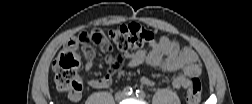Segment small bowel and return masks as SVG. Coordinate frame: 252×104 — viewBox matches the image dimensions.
I'll return each mask as SVG.
<instances>
[{
	"label": "small bowel",
	"mask_w": 252,
	"mask_h": 104,
	"mask_svg": "<svg viewBox=\"0 0 252 104\" xmlns=\"http://www.w3.org/2000/svg\"><path fill=\"white\" fill-rule=\"evenodd\" d=\"M126 66L136 68L142 64L152 67H158L164 71H179L172 79V85L175 89L188 88L190 79L200 73V64L197 54L190 48L181 49L178 40L168 36H160L152 39L149 44L136 52L124 54ZM119 56H111L107 59V64L115 69L120 65ZM94 68L93 57L88 58L85 69L90 72ZM142 85L152 87L155 85L154 80L149 77L140 79ZM89 86L95 89L108 88L112 84L110 74L101 78H90ZM68 99L77 102L81 99V93L76 97L68 95Z\"/></svg>",
	"instance_id": "1"
}]
</instances>
